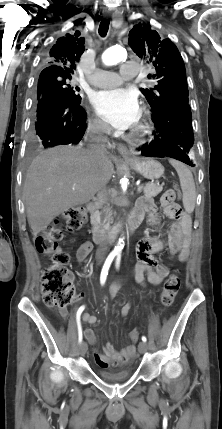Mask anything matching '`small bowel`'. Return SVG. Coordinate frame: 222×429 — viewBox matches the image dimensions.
<instances>
[{"instance_id":"small-bowel-1","label":"small bowel","mask_w":222,"mask_h":429,"mask_svg":"<svg viewBox=\"0 0 222 429\" xmlns=\"http://www.w3.org/2000/svg\"><path fill=\"white\" fill-rule=\"evenodd\" d=\"M163 213L165 216L174 220L171 225L170 234L167 241L156 238H144L137 244L136 252L138 261L132 268L129 276L138 284L144 285L145 277L151 284L158 285L169 274V268L158 262L154 256L156 253L168 248L172 255H176L180 261H186L190 254L192 221L190 216L175 203H162ZM134 211L147 215V221L150 226L158 227L160 225V216L156 205L150 198H141L136 203ZM93 249V244L89 241L83 242L76 251V259L83 262ZM121 286V282L116 283L111 291L110 296L113 298ZM83 294L80 295L82 297ZM131 308L128 302L121 308V316L126 317ZM63 317L68 315L64 307L60 310ZM83 321L89 324L96 323L97 319L89 312L83 314ZM84 336L90 344H95L96 335L90 328L84 329ZM135 354L134 345L128 344L120 350H116L112 343H106L103 352L94 351L93 356L97 364L102 368L109 366L124 365Z\"/></svg>"}]
</instances>
